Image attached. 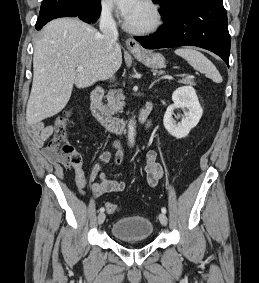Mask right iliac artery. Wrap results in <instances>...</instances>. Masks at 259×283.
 <instances>
[{
  "mask_svg": "<svg viewBox=\"0 0 259 283\" xmlns=\"http://www.w3.org/2000/svg\"><path fill=\"white\" fill-rule=\"evenodd\" d=\"M99 210H100V212H104V208L103 207H101Z\"/></svg>",
  "mask_w": 259,
  "mask_h": 283,
  "instance_id": "82829eb1",
  "label": "right iliac artery"
}]
</instances>
